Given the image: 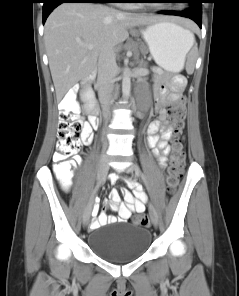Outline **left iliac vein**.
Returning a JSON list of instances; mask_svg holds the SVG:
<instances>
[{
  "mask_svg": "<svg viewBox=\"0 0 239 296\" xmlns=\"http://www.w3.org/2000/svg\"><path fill=\"white\" fill-rule=\"evenodd\" d=\"M135 170H136V168H135L134 165H129L126 168V171L128 173H134ZM148 208H149V214H150L151 221L154 224V226L157 227L158 226V223H159V218H158L157 211H156V209H155V207L153 206L152 203H149Z\"/></svg>",
  "mask_w": 239,
  "mask_h": 296,
  "instance_id": "left-iliac-vein-1",
  "label": "left iliac vein"
}]
</instances>
